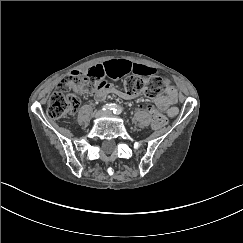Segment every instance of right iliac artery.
Returning <instances> with one entry per match:
<instances>
[{
	"instance_id": "1",
	"label": "right iliac artery",
	"mask_w": 243,
	"mask_h": 243,
	"mask_svg": "<svg viewBox=\"0 0 243 243\" xmlns=\"http://www.w3.org/2000/svg\"><path fill=\"white\" fill-rule=\"evenodd\" d=\"M117 105L116 104H106L102 107V110H112V111H115L117 109Z\"/></svg>"
}]
</instances>
